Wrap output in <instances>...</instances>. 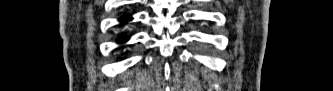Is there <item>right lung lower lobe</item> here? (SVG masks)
<instances>
[{
	"label": "right lung lower lobe",
	"instance_id": "98d812e1",
	"mask_svg": "<svg viewBox=\"0 0 333 91\" xmlns=\"http://www.w3.org/2000/svg\"><path fill=\"white\" fill-rule=\"evenodd\" d=\"M132 18L130 16H123L121 19H120V22L121 23H125L127 22L128 20H131ZM128 40V37H125L123 35H121L118 39V42L122 43V42H125Z\"/></svg>",
	"mask_w": 333,
	"mask_h": 91
}]
</instances>
